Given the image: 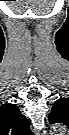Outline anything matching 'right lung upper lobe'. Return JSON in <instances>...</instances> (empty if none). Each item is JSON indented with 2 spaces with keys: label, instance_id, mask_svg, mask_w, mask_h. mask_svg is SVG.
<instances>
[{
  "label": "right lung upper lobe",
  "instance_id": "obj_1",
  "mask_svg": "<svg viewBox=\"0 0 69 135\" xmlns=\"http://www.w3.org/2000/svg\"><path fill=\"white\" fill-rule=\"evenodd\" d=\"M1 131L3 135H32L30 121L13 104L0 107Z\"/></svg>",
  "mask_w": 69,
  "mask_h": 135
}]
</instances>
